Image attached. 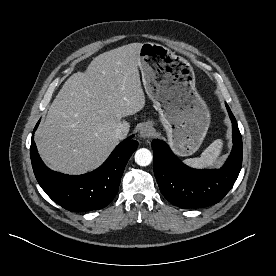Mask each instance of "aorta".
Here are the masks:
<instances>
[{
    "label": "aorta",
    "mask_w": 276,
    "mask_h": 276,
    "mask_svg": "<svg viewBox=\"0 0 276 276\" xmlns=\"http://www.w3.org/2000/svg\"><path fill=\"white\" fill-rule=\"evenodd\" d=\"M135 162L139 166H148L153 159V155L150 150L146 148H140L135 152Z\"/></svg>",
    "instance_id": "aorta-1"
}]
</instances>
